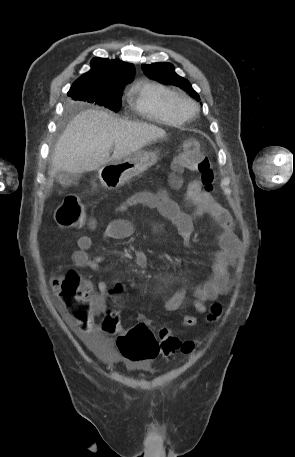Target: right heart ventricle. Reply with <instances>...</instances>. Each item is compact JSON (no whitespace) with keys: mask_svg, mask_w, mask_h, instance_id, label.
Here are the masks:
<instances>
[{"mask_svg":"<svg viewBox=\"0 0 295 457\" xmlns=\"http://www.w3.org/2000/svg\"><path fill=\"white\" fill-rule=\"evenodd\" d=\"M177 95L167 86L154 81H143L134 84L128 92L130 107L144 119L180 125L184 122L173 109L172 103Z\"/></svg>","mask_w":295,"mask_h":457,"instance_id":"obj_1","label":"right heart ventricle"}]
</instances>
